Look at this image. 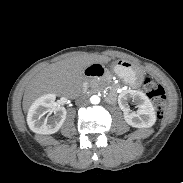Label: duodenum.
I'll list each match as a JSON object with an SVG mask.
<instances>
[{"instance_id": "duodenum-1", "label": "duodenum", "mask_w": 183, "mask_h": 183, "mask_svg": "<svg viewBox=\"0 0 183 183\" xmlns=\"http://www.w3.org/2000/svg\"><path fill=\"white\" fill-rule=\"evenodd\" d=\"M84 73L88 79H96V78L102 77L105 74V71L103 67L100 66L98 63H92L90 66H88L85 69ZM108 99L112 100L113 96L110 95Z\"/></svg>"}]
</instances>
